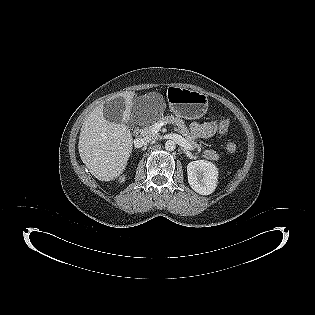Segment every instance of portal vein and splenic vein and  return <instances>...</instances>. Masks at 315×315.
I'll list each match as a JSON object with an SVG mask.
<instances>
[{"label": "portal vein and splenic vein", "mask_w": 315, "mask_h": 315, "mask_svg": "<svg viewBox=\"0 0 315 315\" xmlns=\"http://www.w3.org/2000/svg\"><path fill=\"white\" fill-rule=\"evenodd\" d=\"M161 126H163V123H156L155 125H153V132L157 133L160 130Z\"/></svg>", "instance_id": "portal-vein-and-splenic-vein-1"}]
</instances>
